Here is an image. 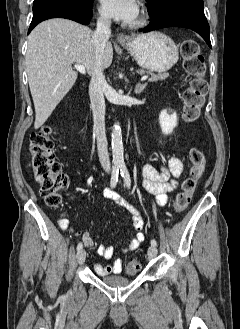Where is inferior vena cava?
<instances>
[{
	"mask_svg": "<svg viewBox=\"0 0 240 329\" xmlns=\"http://www.w3.org/2000/svg\"><path fill=\"white\" fill-rule=\"evenodd\" d=\"M111 35V21L107 17L101 16L97 19V28L93 35L95 46V64L91 74L89 85V95L91 109L93 113L94 132L97 140V150L99 161L105 172L111 171V163L108 153V143L105 132V99L104 93L108 87L103 74V52L106 43Z\"/></svg>",
	"mask_w": 240,
	"mask_h": 329,
	"instance_id": "602c4592",
	"label": "inferior vena cava"
}]
</instances>
